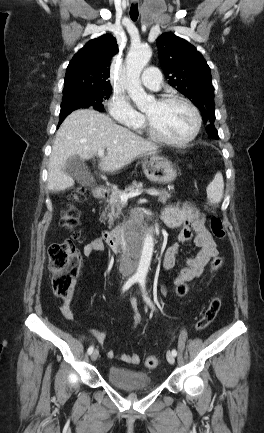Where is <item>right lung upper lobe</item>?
Instances as JSON below:
<instances>
[{
    "mask_svg": "<svg viewBox=\"0 0 264 433\" xmlns=\"http://www.w3.org/2000/svg\"><path fill=\"white\" fill-rule=\"evenodd\" d=\"M118 51L116 39L110 34L89 41L67 67L63 98L76 92L111 87L109 66Z\"/></svg>",
    "mask_w": 264,
    "mask_h": 433,
    "instance_id": "1",
    "label": "right lung upper lobe"
}]
</instances>
